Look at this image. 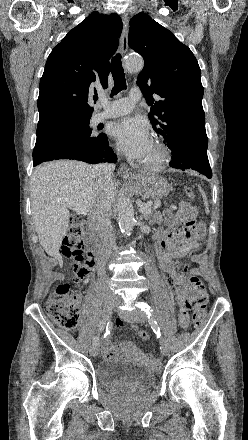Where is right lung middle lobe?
I'll return each mask as SVG.
<instances>
[{
	"label": "right lung middle lobe",
	"instance_id": "dd1d6c3e",
	"mask_svg": "<svg viewBox=\"0 0 248 440\" xmlns=\"http://www.w3.org/2000/svg\"><path fill=\"white\" fill-rule=\"evenodd\" d=\"M47 131H48V130H47ZM44 132H46V131H38V130H37V135H40V134H42V133H44ZM79 132H80L82 135H86V136L90 137V135H91V128H90V126H89V120L83 122V123L79 126ZM93 139H95V137H93Z\"/></svg>",
	"mask_w": 248,
	"mask_h": 440
}]
</instances>
